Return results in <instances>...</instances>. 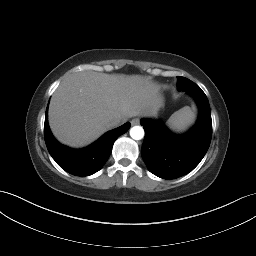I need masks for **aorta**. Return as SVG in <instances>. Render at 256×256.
<instances>
[{
  "mask_svg": "<svg viewBox=\"0 0 256 256\" xmlns=\"http://www.w3.org/2000/svg\"><path fill=\"white\" fill-rule=\"evenodd\" d=\"M130 136L134 140H141L144 137V129L141 126H133L130 129Z\"/></svg>",
  "mask_w": 256,
  "mask_h": 256,
  "instance_id": "aorta-1",
  "label": "aorta"
}]
</instances>
